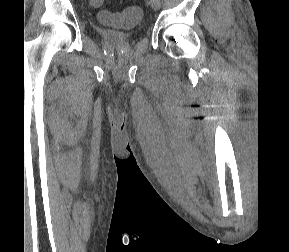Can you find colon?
Returning a JSON list of instances; mask_svg holds the SVG:
<instances>
[{
	"instance_id": "5ec220e1",
	"label": "colon",
	"mask_w": 289,
	"mask_h": 252,
	"mask_svg": "<svg viewBox=\"0 0 289 252\" xmlns=\"http://www.w3.org/2000/svg\"><path fill=\"white\" fill-rule=\"evenodd\" d=\"M104 0H93L92 6L99 8L102 6ZM141 10L138 7L129 6L124 9L122 13H110L108 11H101L99 19L102 23L117 27H132L141 18Z\"/></svg>"
}]
</instances>
